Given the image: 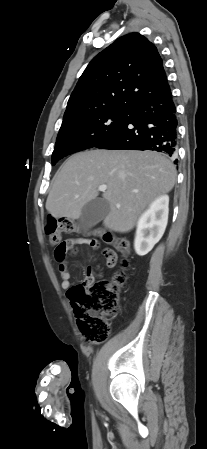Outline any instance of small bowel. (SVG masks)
Listing matches in <instances>:
<instances>
[{"mask_svg": "<svg viewBox=\"0 0 207 449\" xmlns=\"http://www.w3.org/2000/svg\"><path fill=\"white\" fill-rule=\"evenodd\" d=\"M74 243H78V244H82L85 243V240L83 239H76L73 240ZM114 259H115V263H116V254H113ZM108 266V265H107ZM114 266V265H113ZM108 267H112V266H108ZM59 272H60V277H61V285L63 289H67L70 287L71 285V280H70V273L66 267V265H59ZM94 278V271L89 268L86 272V277L85 280L86 281H91Z\"/></svg>", "mask_w": 207, "mask_h": 449, "instance_id": "c3829d8e", "label": "small bowel"}]
</instances>
